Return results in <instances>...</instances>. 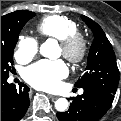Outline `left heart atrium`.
<instances>
[{
	"instance_id": "39dd6f15",
	"label": "left heart atrium",
	"mask_w": 121,
	"mask_h": 121,
	"mask_svg": "<svg viewBox=\"0 0 121 121\" xmlns=\"http://www.w3.org/2000/svg\"><path fill=\"white\" fill-rule=\"evenodd\" d=\"M68 69L62 60H41L24 72L25 80L32 86L42 90H55L66 77Z\"/></svg>"
}]
</instances>
